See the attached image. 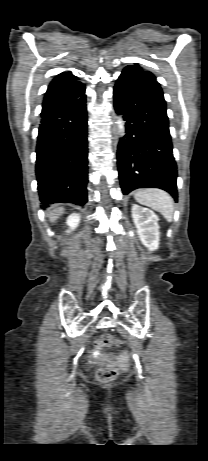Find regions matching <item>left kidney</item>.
Returning a JSON list of instances; mask_svg holds the SVG:
<instances>
[{
  "mask_svg": "<svg viewBox=\"0 0 208 461\" xmlns=\"http://www.w3.org/2000/svg\"><path fill=\"white\" fill-rule=\"evenodd\" d=\"M132 218L142 244L149 251L157 250L160 240L158 216L152 210L134 204Z\"/></svg>",
  "mask_w": 208,
  "mask_h": 461,
  "instance_id": "left-kidney-1",
  "label": "left kidney"
}]
</instances>
